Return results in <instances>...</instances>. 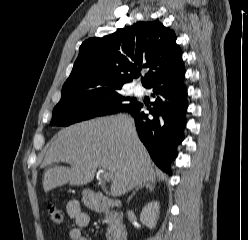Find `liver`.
<instances>
[{
  "mask_svg": "<svg viewBox=\"0 0 248 240\" xmlns=\"http://www.w3.org/2000/svg\"><path fill=\"white\" fill-rule=\"evenodd\" d=\"M59 161L71 167L49 168L43 178L45 192L67 183L86 185L94 179L98 167L112 173L113 197L155 181L156 176L133 119L124 114L77 123L59 131L43 165Z\"/></svg>",
  "mask_w": 248,
  "mask_h": 240,
  "instance_id": "1",
  "label": "liver"
}]
</instances>
